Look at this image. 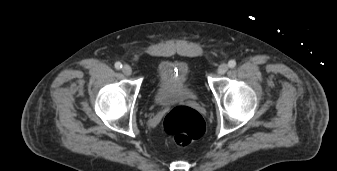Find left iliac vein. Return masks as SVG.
<instances>
[{
  "instance_id": "left-iliac-vein-1",
  "label": "left iliac vein",
  "mask_w": 337,
  "mask_h": 171,
  "mask_svg": "<svg viewBox=\"0 0 337 171\" xmlns=\"http://www.w3.org/2000/svg\"><path fill=\"white\" fill-rule=\"evenodd\" d=\"M227 70H228V65L223 63L218 67L217 72L218 74L223 75L227 72Z\"/></svg>"
}]
</instances>
